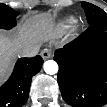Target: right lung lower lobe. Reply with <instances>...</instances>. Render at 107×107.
I'll return each instance as SVG.
<instances>
[{
  "label": "right lung lower lobe",
  "instance_id": "1",
  "mask_svg": "<svg viewBox=\"0 0 107 107\" xmlns=\"http://www.w3.org/2000/svg\"><path fill=\"white\" fill-rule=\"evenodd\" d=\"M42 64L39 55L17 61L11 77L0 88L1 107H20L26 103L32 77L40 71Z\"/></svg>",
  "mask_w": 107,
  "mask_h": 107
}]
</instances>
